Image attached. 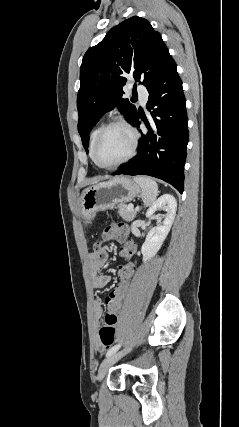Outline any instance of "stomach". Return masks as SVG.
Masks as SVG:
<instances>
[{
	"instance_id": "1",
	"label": "stomach",
	"mask_w": 239,
	"mask_h": 427,
	"mask_svg": "<svg viewBox=\"0 0 239 427\" xmlns=\"http://www.w3.org/2000/svg\"><path fill=\"white\" fill-rule=\"evenodd\" d=\"M141 192L135 181L119 176L87 188L81 197L82 214L91 221L98 211L113 208L118 203L131 201Z\"/></svg>"
}]
</instances>
